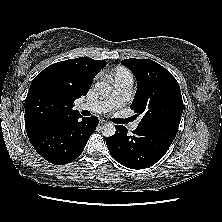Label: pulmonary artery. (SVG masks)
I'll use <instances>...</instances> for the list:
<instances>
[{
	"label": "pulmonary artery",
	"mask_w": 222,
	"mask_h": 222,
	"mask_svg": "<svg viewBox=\"0 0 222 222\" xmlns=\"http://www.w3.org/2000/svg\"><path fill=\"white\" fill-rule=\"evenodd\" d=\"M133 85L132 76L127 74H120L115 77L114 90L112 94L103 100L87 102L80 105L81 109L89 110L95 113H103L113 109L122 107L128 100L129 92ZM138 122L131 124L130 129L136 130Z\"/></svg>",
	"instance_id": "obj_1"
}]
</instances>
